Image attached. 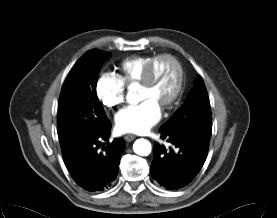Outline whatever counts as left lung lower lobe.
<instances>
[{
  "instance_id": "left-lung-lower-lobe-1",
  "label": "left lung lower lobe",
  "mask_w": 277,
  "mask_h": 218,
  "mask_svg": "<svg viewBox=\"0 0 277 218\" xmlns=\"http://www.w3.org/2000/svg\"><path fill=\"white\" fill-rule=\"evenodd\" d=\"M161 138L169 148L155 143L151 175L168 190L189 184L203 166L209 148L211 127H162Z\"/></svg>"
}]
</instances>
